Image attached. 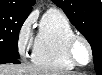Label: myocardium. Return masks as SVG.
Listing matches in <instances>:
<instances>
[{
	"label": "myocardium",
	"instance_id": "1",
	"mask_svg": "<svg viewBox=\"0 0 102 75\" xmlns=\"http://www.w3.org/2000/svg\"><path fill=\"white\" fill-rule=\"evenodd\" d=\"M78 43H82L86 48L87 59L85 62H80L77 58L76 46ZM66 50L68 52L70 59L74 62V64L85 65L88 64L89 61L91 60L92 56L91 45L88 42V40L82 35L74 34L73 36H71L66 43Z\"/></svg>",
	"mask_w": 102,
	"mask_h": 75
}]
</instances>
